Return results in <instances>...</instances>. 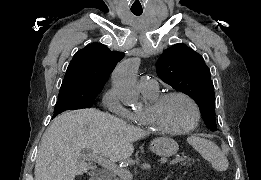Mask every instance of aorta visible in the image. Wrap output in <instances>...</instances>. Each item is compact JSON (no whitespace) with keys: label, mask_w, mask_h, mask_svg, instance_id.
<instances>
[{"label":"aorta","mask_w":261,"mask_h":180,"mask_svg":"<svg viewBox=\"0 0 261 180\" xmlns=\"http://www.w3.org/2000/svg\"><path fill=\"white\" fill-rule=\"evenodd\" d=\"M140 59L138 56L119 63L112 73V83L119 99L126 106L139 105V91L136 76Z\"/></svg>","instance_id":"obj_1"}]
</instances>
